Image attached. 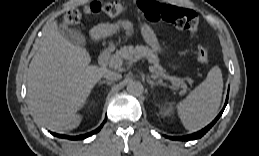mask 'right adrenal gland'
<instances>
[{"instance_id":"right-adrenal-gland-1","label":"right adrenal gland","mask_w":259,"mask_h":156,"mask_svg":"<svg viewBox=\"0 0 259 156\" xmlns=\"http://www.w3.org/2000/svg\"><path fill=\"white\" fill-rule=\"evenodd\" d=\"M107 84V85H110L112 84V81H108V80H104V81H100L98 84L101 85V84Z\"/></svg>"}]
</instances>
